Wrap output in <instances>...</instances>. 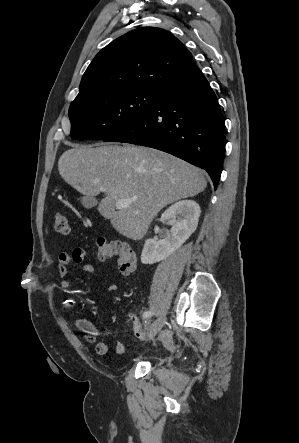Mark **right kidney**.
Segmentation results:
<instances>
[{
  "instance_id": "ca27d5eb",
  "label": "right kidney",
  "mask_w": 299,
  "mask_h": 443,
  "mask_svg": "<svg viewBox=\"0 0 299 443\" xmlns=\"http://www.w3.org/2000/svg\"><path fill=\"white\" fill-rule=\"evenodd\" d=\"M200 207L193 200H181L170 206L161 215L162 221L172 225L170 233L160 240L147 239L141 254L143 264H153L166 259L179 249L196 230Z\"/></svg>"
}]
</instances>
